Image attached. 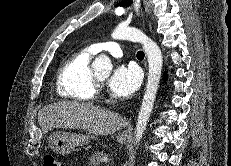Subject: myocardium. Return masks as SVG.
I'll use <instances>...</instances> for the list:
<instances>
[{"label": "myocardium", "instance_id": "f54148a6", "mask_svg": "<svg viewBox=\"0 0 231 166\" xmlns=\"http://www.w3.org/2000/svg\"><path fill=\"white\" fill-rule=\"evenodd\" d=\"M94 82H95L96 88H98L102 84V81L95 75H94Z\"/></svg>", "mask_w": 231, "mask_h": 166}]
</instances>
